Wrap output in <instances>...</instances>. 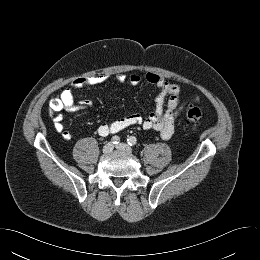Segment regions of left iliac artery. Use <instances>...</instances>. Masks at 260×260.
I'll list each match as a JSON object with an SVG mask.
<instances>
[{
  "label": "left iliac artery",
  "instance_id": "obj_1",
  "mask_svg": "<svg viewBox=\"0 0 260 260\" xmlns=\"http://www.w3.org/2000/svg\"><path fill=\"white\" fill-rule=\"evenodd\" d=\"M127 143H128V145H130V146H134V145H136L137 140H136V138H135L134 136H131V137H129V138L127 139Z\"/></svg>",
  "mask_w": 260,
  "mask_h": 260
}]
</instances>
